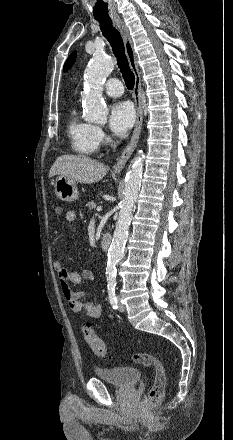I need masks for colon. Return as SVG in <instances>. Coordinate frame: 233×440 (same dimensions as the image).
<instances>
[{
    "mask_svg": "<svg viewBox=\"0 0 233 440\" xmlns=\"http://www.w3.org/2000/svg\"><path fill=\"white\" fill-rule=\"evenodd\" d=\"M55 216L59 217L62 214V207L56 205L54 208ZM82 333L84 340L90 346L94 355L100 359H109L111 351L106 343L100 338L97 331L89 324H83ZM133 360L145 367H150L154 370L153 385L140 405L143 412H150L154 410L162 401L166 386L165 369L161 360L153 354L147 352H137L133 355Z\"/></svg>",
    "mask_w": 233,
    "mask_h": 440,
    "instance_id": "1",
    "label": "colon"
}]
</instances>
